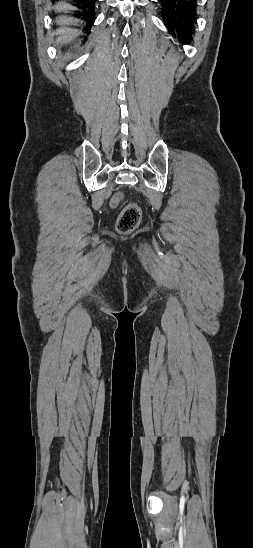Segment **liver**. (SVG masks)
<instances>
[{
  "mask_svg": "<svg viewBox=\"0 0 253 548\" xmlns=\"http://www.w3.org/2000/svg\"><path fill=\"white\" fill-rule=\"evenodd\" d=\"M55 9L57 11H66L73 9V7L65 2H60L55 5ZM78 22L77 19L67 16H60L57 18V24L60 25V28L56 31V34L58 35L56 39L57 44H68L80 34L79 30L67 27L70 24H77Z\"/></svg>",
  "mask_w": 253,
  "mask_h": 548,
  "instance_id": "obj_1",
  "label": "liver"
}]
</instances>
